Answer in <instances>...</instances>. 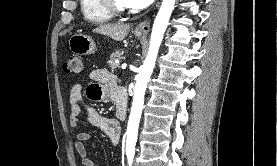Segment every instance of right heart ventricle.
<instances>
[{
    "mask_svg": "<svg viewBox=\"0 0 277 166\" xmlns=\"http://www.w3.org/2000/svg\"><path fill=\"white\" fill-rule=\"evenodd\" d=\"M80 7L84 18L89 22L102 24L113 18L100 0H80Z\"/></svg>",
    "mask_w": 277,
    "mask_h": 166,
    "instance_id": "obj_1",
    "label": "right heart ventricle"
}]
</instances>
